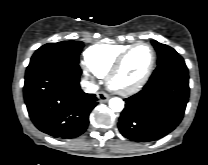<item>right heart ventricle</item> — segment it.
Listing matches in <instances>:
<instances>
[{"label":"right heart ventricle","mask_w":208,"mask_h":165,"mask_svg":"<svg viewBox=\"0 0 208 165\" xmlns=\"http://www.w3.org/2000/svg\"><path fill=\"white\" fill-rule=\"evenodd\" d=\"M130 45L118 43H98L88 47L84 52L85 64L97 76L108 74L118 56Z\"/></svg>","instance_id":"obj_1"}]
</instances>
